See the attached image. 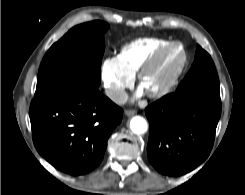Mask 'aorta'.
<instances>
[{"instance_id":"762f6f07","label":"aorta","mask_w":245,"mask_h":195,"mask_svg":"<svg viewBox=\"0 0 245 195\" xmlns=\"http://www.w3.org/2000/svg\"><path fill=\"white\" fill-rule=\"evenodd\" d=\"M130 129L135 134H144L148 129V124L143 117L134 116L130 120Z\"/></svg>"}]
</instances>
